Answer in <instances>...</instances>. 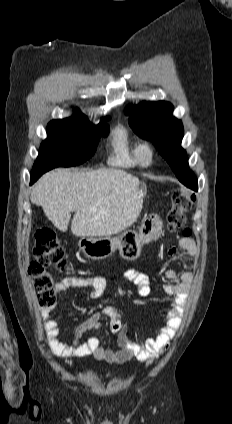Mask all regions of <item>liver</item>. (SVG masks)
I'll list each match as a JSON object with an SVG mask.
<instances>
[{
	"label": "liver",
	"instance_id": "6515ba94",
	"mask_svg": "<svg viewBox=\"0 0 232 424\" xmlns=\"http://www.w3.org/2000/svg\"><path fill=\"white\" fill-rule=\"evenodd\" d=\"M139 185L137 177L121 169L57 168L37 181L30 199L62 232L67 231L74 211L71 232L75 236H110L137 220L146 193Z\"/></svg>",
	"mask_w": 232,
	"mask_h": 424
}]
</instances>
